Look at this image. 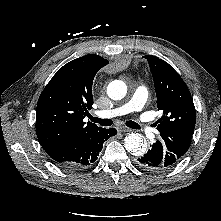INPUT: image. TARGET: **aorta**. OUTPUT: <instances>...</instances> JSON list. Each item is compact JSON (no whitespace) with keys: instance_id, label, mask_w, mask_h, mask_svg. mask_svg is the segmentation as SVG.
Wrapping results in <instances>:
<instances>
[{"instance_id":"aorta-1","label":"aorta","mask_w":221,"mask_h":221,"mask_svg":"<svg viewBox=\"0 0 221 221\" xmlns=\"http://www.w3.org/2000/svg\"><path fill=\"white\" fill-rule=\"evenodd\" d=\"M127 86L121 80H114L107 87V94L113 100H121L126 96ZM125 149L134 156H141L147 149L143 136L139 133H130L124 139Z\"/></svg>"}]
</instances>
